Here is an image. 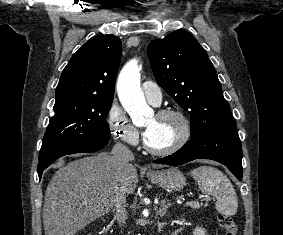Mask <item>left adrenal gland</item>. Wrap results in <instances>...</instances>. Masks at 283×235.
Returning a JSON list of instances; mask_svg holds the SVG:
<instances>
[{"mask_svg":"<svg viewBox=\"0 0 283 235\" xmlns=\"http://www.w3.org/2000/svg\"><path fill=\"white\" fill-rule=\"evenodd\" d=\"M171 206V203L167 202L165 199H163L161 202H160V206H159V209L157 210V213L163 217L166 212H167V208Z\"/></svg>","mask_w":283,"mask_h":235,"instance_id":"left-adrenal-gland-1","label":"left adrenal gland"}]
</instances>
